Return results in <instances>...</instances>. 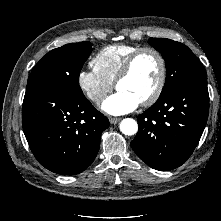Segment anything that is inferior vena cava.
<instances>
[{"label": "inferior vena cava", "instance_id": "1", "mask_svg": "<svg viewBox=\"0 0 221 221\" xmlns=\"http://www.w3.org/2000/svg\"><path fill=\"white\" fill-rule=\"evenodd\" d=\"M103 97H104L103 95H100L97 99H98V100H102Z\"/></svg>", "mask_w": 221, "mask_h": 221}]
</instances>
